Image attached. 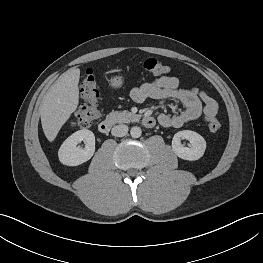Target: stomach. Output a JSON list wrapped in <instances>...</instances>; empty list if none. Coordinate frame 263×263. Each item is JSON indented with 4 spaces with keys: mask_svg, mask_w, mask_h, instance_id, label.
Instances as JSON below:
<instances>
[{
    "mask_svg": "<svg viewBox=\"0 0 263 263\" xmlns=\"http://www.w3.org/2000/svg\"><path fill=\"white\" fill-rule=\"evenodd\" d=\"M124 83V80L122 77L120 76H114L111 80H110V85L115 88L118 89L120 87H122Z\"/></svg>",
    "mask_w": 263,
    "mask_h": 263,
    "instance_id": "0dacf381",
    "label": "stomach"
}]
</instances>
